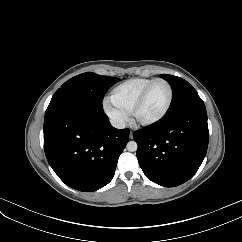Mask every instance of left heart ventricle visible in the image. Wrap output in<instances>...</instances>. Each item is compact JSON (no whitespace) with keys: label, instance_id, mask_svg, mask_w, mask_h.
<instances>
[{"label":"left heart ventricle","instance_id":"1","mask_svg":"<svg viewBox=\"0 0 242 242\" xmlns=\"http://www.w3.org/2000/svg\"><path fill=\"white\" fill-rule=\"evenodd\" d=\"M169 99V89L163 82L156 83L147 94V97L137 112L141 120H151L159 116Z\"/></svg>","mask_w":242,"mask_h":242}]
</instances>
